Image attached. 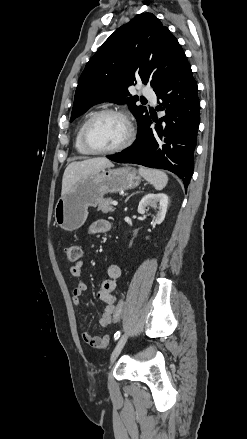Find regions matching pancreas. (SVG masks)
<instances>
[{
	"instance_id": "obj_1",
	"label": "pancreas",
	"mask_w": 247,
	"mask_h": 439,
	"mask_svg": "<svg viewBox=\"0 0 247 439\" xmlns=\"http://www.w3.org/2000/svg\"><path fill=\"white\" fill-rule=\"evenodd\" d=\"M112 199L105 198L98 204V210L102 211L105 214L112 213L114 208L112 207Z\"/></svg>"
}]
</instances>
